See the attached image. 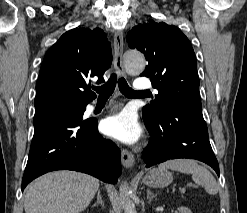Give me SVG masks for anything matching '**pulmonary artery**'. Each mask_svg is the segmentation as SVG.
<instances>
[{
  "instance_id": "pulmonary-artery-1",
  "label": "pulmonary artery",
  "mask_w": 247,
  "mask_h": 213,
  "mask_svg": "<svg viewBox=\"0 0 247 213\" xmlns=\"http://www.w3.org/2000/svg\"><path fill=\"white\" fill-rule=\"evenodd\" d=\"M152 87V83L149 78L147 77H141L138 78L136 83H135V90L136 91H145L147 89H150ZM156 92V90H154ZM96 108L95 105H90L88 110L90 112L94 111Z\"/></svg>"
}]
</instances>
